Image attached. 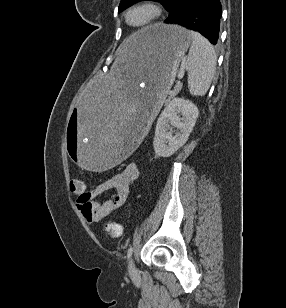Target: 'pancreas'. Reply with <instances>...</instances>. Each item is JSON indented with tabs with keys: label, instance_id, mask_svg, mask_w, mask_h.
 I'll return each instance as SVG.
<instances>
[{
	"label": "pancreas",
	"instance_id": "cf45deb5",
	"mask_svg": "<svg viewBox=\"0 0 286 308\" xmlns=\"http://www.w3.org/2000/svg\"><path fill=\"white\" fill-rule=\"evenodd\" d=\"M181 90V85L176 86L174 88L173 91L170 92V98L174 97L175 95H177L179 93V91Z\"/></svg>",
	"mask_w": 286,
	"mask_h": 308
}]
</instances>
